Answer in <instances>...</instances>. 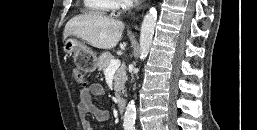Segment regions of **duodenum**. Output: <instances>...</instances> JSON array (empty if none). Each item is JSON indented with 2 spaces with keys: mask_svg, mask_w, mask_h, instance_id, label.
Listing matches in <instances>:
<instances>
[{
  "mask_svg": "<svg viewBox=\"0 0 257 130\" xmlns=\"http://www.w3.org/2000/svg\"><path fill=\"white\" fill-rule=\"evenodd\" d=\"M117 109L120 113H124L126 109V100L123 98H119L117 100Z\"/></svg>",
  "mask_w": 257,
  "mask_h": 130,
  "instance_id": "1",
  "label": "duodenum"
}]
</instances>
